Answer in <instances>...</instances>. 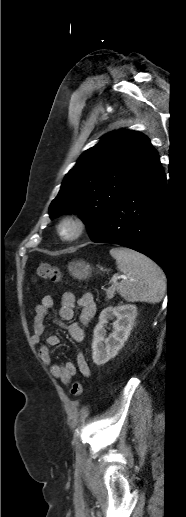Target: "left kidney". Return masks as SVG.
<instances>
[{
  "instance_id": "obj_1",
  "label": "left kidney",
  "mask_w": 186,
  "mask_h": 517,
  "mask_svg": "<svg viewBox=\"0 0 186 517\" xmlns=\"http://www.w3.org/2000/svg\"><path fill=\"white\" fill-rule=\"evenodd\" d=\"M137 316V307L132 304L107 307L102 310L99 322L94 328L92 359L96 365H103L115 357L127 341ZM116 317L112 333L106 337L108 320Z\"/></svg>"
}]
</instances>
